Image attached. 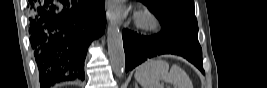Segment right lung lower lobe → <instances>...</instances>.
<instances>
[{"instance_id":"1","label":"right lung lower lobe","mask_w":267,"mask_h":88,"mask_svg":"<svg viewBox=\"0 0 267 88\" xmlns=\"http://www.w3.org/2000/svg\"><path fill=\"white\" fill-rule=\"evenodd\" d=\"M29 36L40 82L84 79V60L103 34L105 0H29Z\"/></svg>"}]
</instances>
